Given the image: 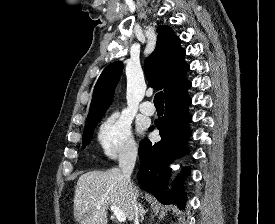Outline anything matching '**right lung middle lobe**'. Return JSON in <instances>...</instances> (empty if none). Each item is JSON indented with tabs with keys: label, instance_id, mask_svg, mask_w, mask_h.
I'll list each match as a JSON object with an SVG mask.
<instances>
[{
	"label": "right lung middle lobe",
	"instance_id": "dd1d6c3e",
	"mask_svg": "<svg viewBox=\"0 0 275 224\" xmlns=\"http://www.w3.org/2000/svg\"><path fill=\"white\" fill-rule=\"evenodd\" d=\"M102 118L94 121V122H91L87 125H85V128H84V135H83V138H82V142H83V146L85 147L86 144H88V142L90 141V138L92 136V133H93V130L95 129L96 125L98 124V122L101 120Z\"/></svg>",
	"mask_w": 275,
	"mask_h": 224
}]
</instances>
